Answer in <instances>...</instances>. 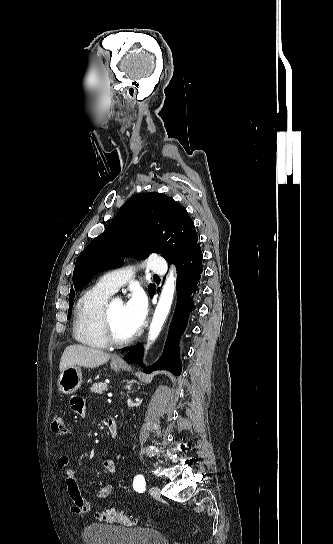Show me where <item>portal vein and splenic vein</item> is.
Segmentation results:
<instances>
[{
	"label": "portal vein and splenic vein",
	"mask_w": 333,
	"mask_h": 544,
	"mask_svg": "<svg viewBox=\"0 0 333 544\" xmlns=\"http://www.w3.org/2000/svg\"><path fill=\"white\" fill-rule=\"evenodd\" d=\"M107 396L110 398L112 397V393H108Z\"/></svg>",
	"instance_id": "obj_1"
}]
</instances>
